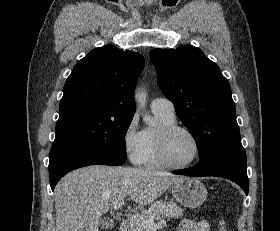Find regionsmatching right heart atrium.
Listing matches in <instances>:
<instances>
[{
    "label": "right heart atrium",
    "mask_w": 280,
    "mask_h": 231,
    "mask_svg": "<svg viewBox=\"0 0 280 231\" xmlns=\"http://www.w3.org/2000/svg\"><path fill=\"white\" fill-rule=\"evenodd\" d=\"M122 146L127 158L136 165L143 162L146 151V138L144 131L138 129L136 118L127 122L122 132Z\"/></svg>",
    "instance_id": "obj_1"
}]
</instances>
